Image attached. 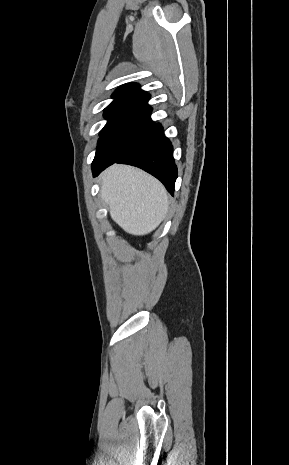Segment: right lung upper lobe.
Segmentation results:
<instances>
[{"label": "right lung upper lobe", "mask_w": 289, "mask_h": 465, "mask_svg": "<svg viewBox=\"0 0 289 465\" xmlns=\"http://www.w3.org/2000/svg\"><path fill=\"white\" fill-rule=\"evenodd\" d=\"M113 98L114 100L105 109L127 104L147 105L150 95L141 90L138 84L129 83L119 87L114 92Z\"/></svg>", "instance_id": "cb5924a9"}]
</instances>
